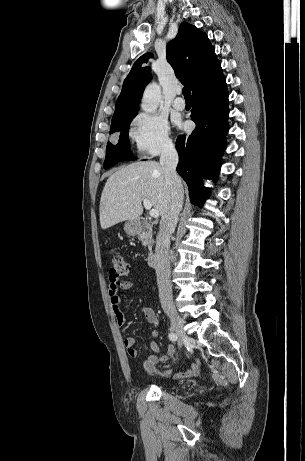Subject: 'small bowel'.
<instances>
[{"mask_svg": "<svg viewBox=\"0 0 305 461\" xmlns=\"http://www.w3.org/2000/svg\"><path fill=\"white\" fill-rule=\"evenodd\" d=\"M109 287H108V295L111 303V308L115 317V321L118 325H123L126 322V318L124 313L120 307V290H130L134 288V284L128 280L122 279H114L112 277L109 278ZM142 313L145 316L146 320L151 323L154 327L152 332V336H157V327L159 325L158 317L151 307H144L142 308ZM124 345L127 349V352L130 356L135 357L137 355L136 349V340L134 337H126L124 340ZM150 348L152 353L149 354L142 364V369L148 373H160L164 375H168L170 370L159 371L156 368V365L160 361L166 360L168 357H174V348L172 345H168L166 348V354L161 355L160 351L161 348L155 340L150 342ZM201 370V363L197 360L194 364L190 366V368L185 371L178 373L174 376L175 379H183L188 377H197L200 374Z\"/></svg>", "mask_w": 305, "mask_h": 461, "instance_id": "obj_1", "label": "small bowel"}]
</instances>
